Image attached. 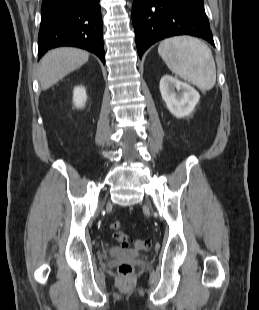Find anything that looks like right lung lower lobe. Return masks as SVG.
<instances>
[{
  "mask_svg": "<svg viewBox=\"0 0 259 310\" xmlns=\"http://www.w3.org/2000/svg\"><path fill=\"white\" fill-rule=\"evenodd\" d=\"M100 0H43L38 35V59L60 46H74L96 54L103 63Z\"/></svg>",
  "mask_w": 259,
  "mask_h": 310,
  "instance_id": "right-lung-lower-lobe-1",
  "label": "right lung lower lobe"
}]
</instances>
